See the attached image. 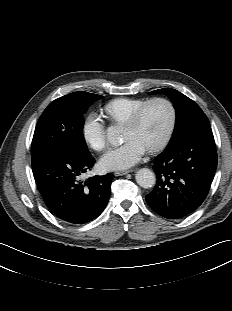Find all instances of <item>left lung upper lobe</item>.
Returning a JSON list of instances; mask_svg holds the SVG:
<instances>
[{"mask_svg": "<svg viewBox=\"0 0 232 311\" xmlns=\"http://www.w3.org/2000/svg\"><path fill=\"white\" fill-rule=\"evenodd\" d=\"M157 93L167 94L176 110L175 128L169 145L182 138L189 131L209 124L208 118L198 105L179 91L172 88H162L152 91L149 94Z\"/></svg>", "mask_w": 232, "mask_h": 311, "instance_id": "left-lung-upper-lobe-1", "label": "left lung upper lobe"}]
</instances>
